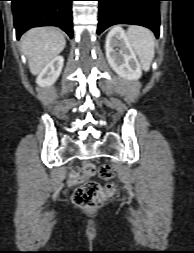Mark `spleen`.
I'll list each match as a JSON object with an SVG mask.
<instances>
[{
  "mask_svg": "<svg viewBox=\"0 0 194 253\" xmlns=\"http://www.w3.org/2000/svg\"><path fill=\"white\" fill-rule=\"evenodd\" d=\"M127 38L138 55L143 70L149 71L155 53L153 33L145 27L132 25L127 30Z\"/></svg>",
  "mask_w": 194,
  "mask_h": 253,
  "instance_id": "obj_1",
  "label": "spleen"
}]
</instances>
